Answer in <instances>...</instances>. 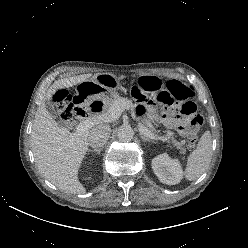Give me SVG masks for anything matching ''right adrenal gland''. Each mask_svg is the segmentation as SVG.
Returning <instances> with one entry per match:
<instances>
[{
	"mask_svg": "<svg viewBox=\"0 0 248 248\" xmlns=\"http://www.w3.org/2000/svg\"><path fill=\"white\" fill-rule=\"evenodd\" d=\"M102 151V148H96V149H89L88 152H95L96 154H100V152Z\"/></svg>",
	"mask_w": 248,
	"mask_h": 248,
	"instance_id": "right-adrenal-gland-1",
	"label": "right adrenal gland"
}]
</instances>
